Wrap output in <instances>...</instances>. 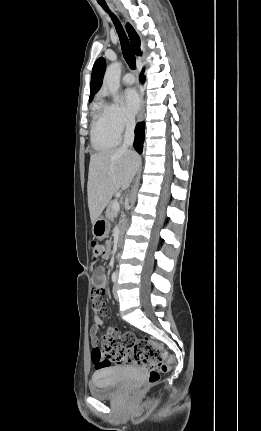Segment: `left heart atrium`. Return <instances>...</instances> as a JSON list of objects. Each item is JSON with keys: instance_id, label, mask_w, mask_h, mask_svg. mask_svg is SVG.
Returning <instances> with one entry per match:
<instances>
[{"instance_id": "obj_1", "label": "left heart atrium", "mask_w": 261, "mask_h": 431, "mask_svg": "<svg viewBox=\"0 0 261 431\" xmlns=\"http://www.w3.org/2000/svg\"><path fill=\"white\" fill-rule=\"evenodd\" d=\"M123 104L126 111L130 115H134L140 107V99L138 93L133 88H128L123 93Z\"/></svg>"}]
</instances>
